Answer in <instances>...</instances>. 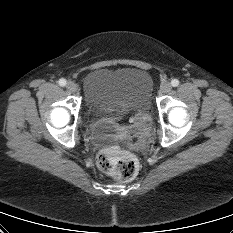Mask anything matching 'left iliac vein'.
<instances>
[{
	"instance_id": "1",
	"label": "left iliac vein",
	"mask_w": 233,
	"mask_h": 233,
	"mask_svg": "<svg viewBox=\"0 0 233 233\" xmlns=\"http://www.w3.org/2000/svg\"><path fill=\"white\" fill-rule=\"evenodd\" d=\"M171 89H172V86H171V84L168 83V82H165V83H163V84L161 85V92L164 93V94L170 92Z\"/></svg>"
}]
</instances>
